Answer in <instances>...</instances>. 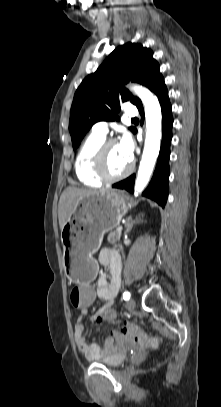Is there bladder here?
<instances>
[{
  "label": "bladder",
  "instance_id": "31cf9c89",
  "mask_svg": "<svg viewBox=\"0 0 221 407\" xmlns=\"http://www.w3.org/2000/svg\"><path fill=\"white\" fill-rule=\"evenodd\" d=\"M125 360L126 354L124 352L115 350L108 355L98 358L95 362L110 368H115L119 367Z\"/></svg>",
  "mask_w": 221,
  "mask_h": 407
}]
</instances>
